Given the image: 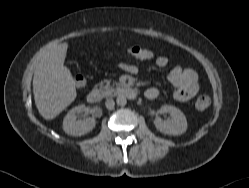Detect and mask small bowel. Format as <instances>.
<instances>
[{
    "label": "small bowel",
    "mask_w": 249,
    "mask_h": 188,
    "mask_svg": "<svg viewBox=\"0 0 249 188\" xmlns=\"http://www.w3.org/2000/svg\"><path fill=\"white\" fill-rule=\"evenodd\" d=\"M156 65L159 68H164L168 65L166 56L156 58ZM120 68L129 74H138L139 67L134 64L123 63ZM168 83L173 88L172 98L178 102H186L194 98L200 90V82L198 74L191 68H183L175 66L167 77ZM147 99L156 100L160 95V90L156 87L147 89L145 93Z\"/></svg>",
    "instance_id": "obj_1"
}]
</instances>
